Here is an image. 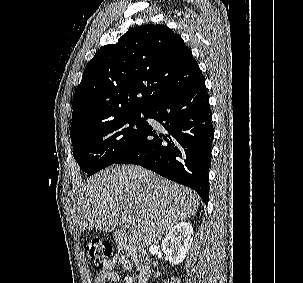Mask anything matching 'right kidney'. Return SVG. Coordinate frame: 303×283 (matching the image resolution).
I'll use <instances>...</instances> for the list:
<instances>
[{
	"mask_svg": "<svg viewBox=\"0 0 303 283\" xmlns=\"http://www.w3.org/2000/svg\"><path fill=\"white\" fill-rule=\"evenodd\" d=\"M193 240V228L190 223L175 225L162 241V251L171 264L181 263L188 253Z\"/></svg>",
	"mask_w": 303,
	"mask_h": 283,
	"instance_id": "obj_1",
	"label": "right kidney"
}]
</instances>
